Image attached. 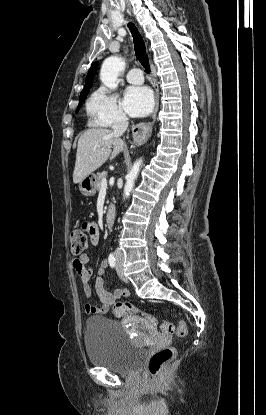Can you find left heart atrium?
<instances>
[{
	"label": "left heart atrium",
	"instance_id": "39dd6f15",
	"mask_svg": "<svg viewBox=\"0 0 266 415\" xmlns=\"http://www.w3.org/2000/svg\"><path fill=\"white\" fill-rule=\"evenodd\" d=\"M123 107L134 117L148 114L153 107L152 92L147 87H130L127 89Z\"/></svg>",
	"mask_w": 266,
	"mask_h": 415
}]
</instances>
